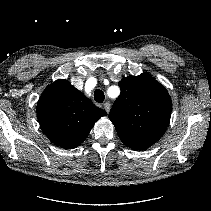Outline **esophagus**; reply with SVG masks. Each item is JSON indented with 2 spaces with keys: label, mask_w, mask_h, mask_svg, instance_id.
Returning <instances> with one entry per match:
<instances>
[{
  "label": "esophagus",
  "mask_w": 211,
  "mask_h": 211,
  "mask_svg": "<svg viewBox=\"0 0 211 211\" xmlns=\"http://www.w3.org/2000/svg\"><path fill=\"white\" fill-rule=\"evenodd\" d=\"M103 107H104V110H105L107 113H109L111 104H110L109 102H105V103L103 104Z\"/></svg>",
  "instance_id": "esophagus-1"
}]
</instances>
